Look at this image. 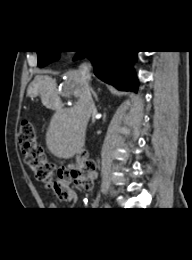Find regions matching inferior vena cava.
<instances>
[{
    "instance_id": "1",
    "label": "inferior vena cava",
    "mask_w": 192,
    "mask_h": 260,
    "mask_svg": "<svg viewBox=\"0 0 192 260\" xmlns=\"http://www.w3.org/2000/svg\"><path fill=\"white\" fill-rule=\"evenodd\" d=\"M79 71L81 73V77H82V82L85 88V92L87 94L90 106L92 111L95 110V106L94 103L92 101L91 98V94H90V87H89V81H90V65L88 63H83L82 65H80L79 67Z\"/></svg>"
}]
</instances>
